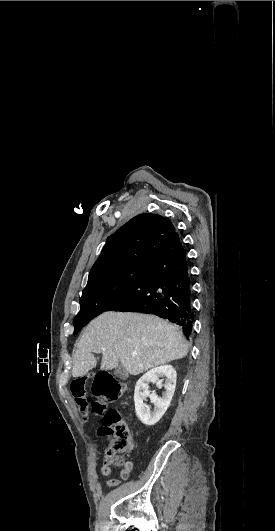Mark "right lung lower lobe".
Returning a JSON list of instances; mask_svg holds the SVG:
<instances>
[{"label":"right lung lower lobe","instance_id":"obj_1","mask_svg":"<svg viewBox=\"0 0 275 531\" xmlns=\"http://www.w3.org/2000/svg\"><path fill=\"white\" fill-rule=\"evenodd\" d=\"M192 290L186 251L176 232L145 267L137 282L107 311L157 315L192 331Z\"/></svg>","mask_w":275,"mask_h":531}]
</instances>
